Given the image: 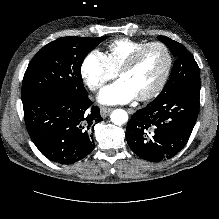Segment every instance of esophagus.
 Segmentation results:
<instances>
[{"mask_svg":"<svg viewBox=\"0 0 219 219\" xmlns=\"http://www.w3.org/2000/svg\"><path fill=\"white\" fill-rule=\"evenodd\" d=\"M112 110H113L112 108L102 107L101 108V116L103 118H106L111 113Z\"/></svg>","mask_w":219,"mask_h":219,"instance_id":"34e87169","label":"esophagus"}]
</instances>
